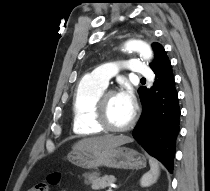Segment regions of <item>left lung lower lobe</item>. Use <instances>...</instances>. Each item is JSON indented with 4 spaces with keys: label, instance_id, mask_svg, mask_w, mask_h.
I'll return each mask as SVG.
<instances>
[{
    "label": "left lung lower lobe",
    "instance_id": "0a47b994",
    "mask_svg": "<svg viewBox=\"0 0 210 191\" xmlns=\"http://www.w3.org/2000/svg\"><path fill=\"white\" fill-rule=\"evenodd\" d=\"M155 81L151 89H138L143 110L133 137L172 173L179 133L180 108L171 63L161 52L151 65Z\"/></svg>",
    "mask_w": 210,
    "mask_h": 191
}]
</instances>
